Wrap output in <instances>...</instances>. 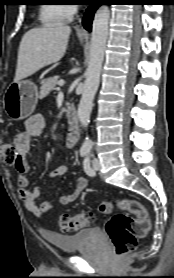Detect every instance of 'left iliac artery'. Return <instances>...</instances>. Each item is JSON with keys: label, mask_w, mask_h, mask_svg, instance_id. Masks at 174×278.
<instances>
[{"label": "left iliac artery", "mask_w": 174, "mask_h": 278, "mask_svg": "<svg viewBox=\"0 0 174 278\" xmlns=\"http://www.w3.org/2000/svg\"><path fill=\"white\" fill-rule=\"evenodd\" d=\"M83 167H84V170H85L86 174H88L89 176H94L95 175L94 170L90 166V159H89V157H86L84 159Z\"/></svg>", "instance_id": "1"}]
</instances>
